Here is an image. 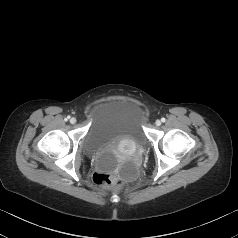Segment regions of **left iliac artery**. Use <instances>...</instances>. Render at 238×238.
I'll list each match as a JSON object with an SVG mask.
<instances>
[{
  "label": "left iliac artery",
  "mask_w": 238,
  "mask_h": 238,
  "mask_svg": "<svg viewBox=\"0 0 238 238\" xmlns=\"http://www.w3.org/2000/svg\"><path fill=\"white\" fill-rule=\"evenodd\" d=\"M161 121H162V122H165V121H166V119H165V118H162V119H161Z\"/></svg>",
  "instance_id": "obj_1"
}]
</instances>
